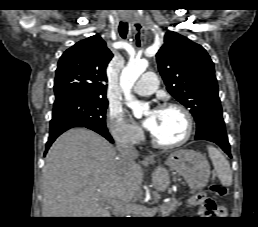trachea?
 Segmentation results:
<instances>
[{
    "mask_svg": "<svg viewBox=\"0 0 258 227\" xmlns=\"http://www.w3.org/2000/svg\"><path fill=\"white\" fill-rule=\"evenodd\" d=\"M119 33L122 38H124V39L126 38L127 33H128V24L127 23L120 22Z\"/></svg>",
    "mask_w": 258,
    "mask_h": 227,
    "instance_id": "1",
    "label": "trachea"
}]
</instances>
